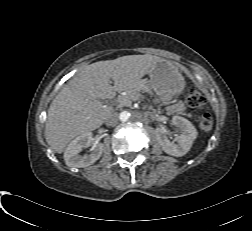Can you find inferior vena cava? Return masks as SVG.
Instances as JSON below:
<instances>
[{"instance_id":"1","label":"inferior vena cava","mask_w":252,"mask_h":231,"mask_svg":"<svg viewBox=\"0 0 252 231\" xmlns=\"http://www.w3.org/2000/svg\"><path fill=\"white\" fill-rule=\"evenodd\" d=\"M119 121V116L117 113H112L110 114L106 119H105V124L107 126H115L118 124Z\"/></svg>"}]
</instances>
